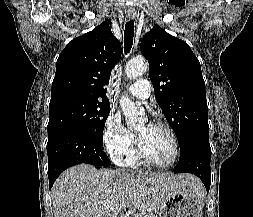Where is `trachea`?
Returning a JSON list of instances; mask_svg holds the SVG:
<instances>
[{
  "instance_id": "3493384b",
  "label": "trachea",
  "mask_w": 253,
  "mask_h": 217,
  "mask_svg": "<svg viewBox=\"0 0 253 217\" xmlns=\"http://www.w3.org/2000/svg\"><path fill=\"white\" fill-rule=\"evenodd\" d=\"M134 21L130 20L125 25L124 31V52L128 54L133 45Z\"/></svg>"
}]
</instances>
